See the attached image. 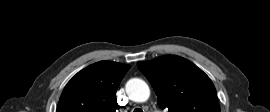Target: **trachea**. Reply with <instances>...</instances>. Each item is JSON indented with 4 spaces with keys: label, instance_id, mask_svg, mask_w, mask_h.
Here are the masks:
<instances>
[{
    "label": "trachea",
    "instance_id": "3493384b",
    "mask_svg": "<svg viewBox=\"0 0 270 112\" xmlns=\"http://www.w3.org/2000/svg\"><path fill=\"white\" fill-rule=\"evenodd\" d=\"M133 112H143V110L140 108H136Z\"/></svg>",
    "mask_w": 270,
    "mask_h": 112
}]
</instances>
